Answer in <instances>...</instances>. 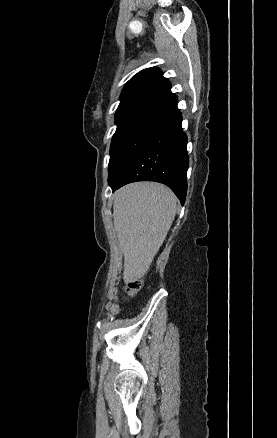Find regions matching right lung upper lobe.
<instances>
[{"label":"right lung upper lobe","instance_id":"1","mask_svg":"<svg viewBox=\"0 0 277 438\" xmlns=\"http://www.w3.org/2000/svg\"><path fill=\"white\" fill-rule=\"evenodd\" d=\"M155 67L134 75L125 85L116 117L137 116L149 112L168 111L177 104L171 85Z\"/></svg>","mask_w":277,"mask_h":438}]
</instances>
